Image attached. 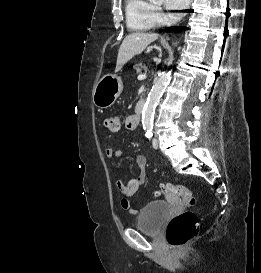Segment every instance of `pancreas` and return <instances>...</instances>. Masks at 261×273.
<instances>
[{
    "label": "pancreas",
    "mask_w": 261,
    "mask_h": 273,
    "mask_svg": "<svg viewBox=\"0 0 261 273\" xmlns=\"http://www.w3.org/2000/svg\"><path fill=\"white\" fill-rule=\"evenodd\" d=\"M135 71L137 74H142V71H146L147 70V67L145 65H143L142 63H139V64H136L135 65Z\"/></svg>",
    "instance_id": "1"
}]
</instances>
